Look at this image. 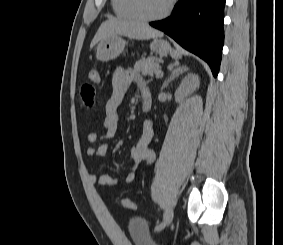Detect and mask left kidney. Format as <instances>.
Wrapping results in <instances>:
<instances>
[{
  "mask_svg": "<svg viewBox=\"0 0 283 245\" xmlns=\"http://www.w3.org/2000/svg\"><path fill=\"white\" fill-rule=\"evenodd\" d=\"M199 87V77L195 74H189L186 76L176 90L175 96L176 99L181 100L188 94H191Z\"/></svg>",
  "mask_w": 283,
  "mask_h": 245,
  "instance_id": "5707ae66",
  "label": "left kidney"
}]
</instances>
